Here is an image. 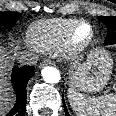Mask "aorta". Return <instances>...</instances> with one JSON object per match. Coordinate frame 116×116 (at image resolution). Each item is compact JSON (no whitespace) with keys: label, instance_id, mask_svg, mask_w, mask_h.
I'll list each match as a JSON object with an SVG mask.
<instances>
[{"label":"aorta","instance_id":"762f6f07","mask_svg":"<svg viewBox=\"0 0 116 116\" xmlns=\"http://www.w3.org/2000/svg\"><path fill=\"white\" fill-rule=\"evenodd\" d=\"M42 77L47 83H58L61 75L58 69L53 67H45L42 69Z\"/></svg>","mask_w":116,"mask_h":116}]
</instances>
